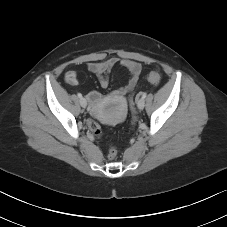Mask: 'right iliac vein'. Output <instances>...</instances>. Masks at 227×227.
Here are the masks:
<instances>
[{
	"label": "right iliac vein",
	"instance_id": "1",
	"mask_svg": "<svg viewBox=\"0 0 227 227\" xmlns=\"http://www.w3.org/2000/svg\"><path fill=\"white\" fill-rule=\"evenodd\" d=\"M80 105H81L83 108H85V107L87 106V101H86L85 98H81V99H80Z\"/></svg>",
	"mask_w": 227,
	"mask_h": 227
}]
</instances>
